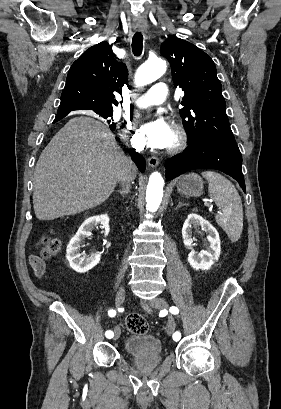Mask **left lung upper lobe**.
I'll return each mask as SVG.
<instances>
[{
    "instance_id": "5c2ea615",
    "label": "left lung upper lobe",
    "mask_w": 281,
    "mask_h": 409,
    "mask_svg": "<svg viewBox=\"0 0 281 409\" xmlns=\"http://www.w3.org/2000/svg\"><path fill=\"white\" fill-rule=\"evenodd\" d=\"M161 54L171 65L176 87L185 93L180 115L189 141L202 137L235 141L216 67L209 55L180 38H168Z\"/></svg>"
}]
</instances>
